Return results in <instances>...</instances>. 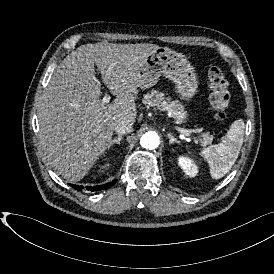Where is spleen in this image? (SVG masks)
I'll list each match as a JSON object with an SVG mask.
<instances>
[{
  "label": "spleen",
  "mask_w": 274,
  "mask_h": 274,
  "mask_svg": "<svg viewBox=\"0 0 274 274\" xmlns=\"http://www.w3.org/2000/svg\"><path fill=\"white\" fill-rule=\"evenodd\" d=\"M245 124L242 119L235 120L223 141L204 148L200 155L207 160L213 179L222 178L236 162L243 144Z\"/></svg>",
  "instance_id": "1"
}]
</instances>
